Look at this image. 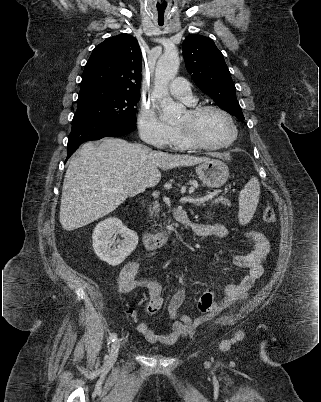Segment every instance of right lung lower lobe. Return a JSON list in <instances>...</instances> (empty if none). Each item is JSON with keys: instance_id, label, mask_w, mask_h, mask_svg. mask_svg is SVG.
Returning a JSON list of instances; mask_svg holds the SVG:
<instances>
[{"instance_id": "obj_1", "label": "right lung lower lobe", "mask_w": 321, "mask_h": 402, "mask_svg": "<svg viewBox=\"0 0 321 402\" xmlns=\"http://www.w3.org/2000/svg\"><path fill=\"white\" fill-rule=\"evenodd\" d=\"M135 129L136 125L120 121H80L72 123L67 145V159L85 141L98 140L107 136H123Z\"/></svg>"}]
</instances>
